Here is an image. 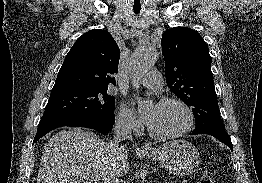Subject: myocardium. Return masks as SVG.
<instances>
[{
  "mask_svg": "<svg viewBox=\"0 0 262 183\" xmlns=\"http://www.w3.org/2000/svg\"><path fill=\"white\" fill-rule=\"evenodd\" d=\"M170 103L178 104L186 111V113L188 115V124L181 131L176 132L174 134H170V135L157 134L148 126L147 132L150 135V137H152L153 139H156V140H159V141L174 140V139H177V138L182 137L183 135L189 133L194 126V123H195L194 112H193L192 108L185 101H183L179 98H176V97H166V98L161 99L158 102V105H166V104H170Z\"/></svg>",
  "mask_w": 262,
  "mask_h": 183,
  "instance_id": "obj_1",
  "label": "myocardium"
}]
</instances>
